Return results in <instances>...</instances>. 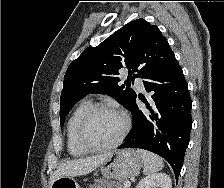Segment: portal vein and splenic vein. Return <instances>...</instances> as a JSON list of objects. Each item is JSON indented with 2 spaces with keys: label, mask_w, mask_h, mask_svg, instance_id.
<instances>
[{
  "label": "portal vein and splenic vein",
  "mask_w": 224,
  "mask_h": 188,
  "mask_svg": "<svg viewBox=\"0 0 224 188\" xmlns=\"http://www.w3.org/2000/svg\"><path fill=\"white\" fill-rule=\"evenodd\" d=\"M124 185L126 186V188H129L131 186V183L129 181H125Z\"/></svg>",
  "instance_id": "obj_1"
}]
</instances>
